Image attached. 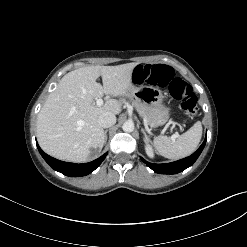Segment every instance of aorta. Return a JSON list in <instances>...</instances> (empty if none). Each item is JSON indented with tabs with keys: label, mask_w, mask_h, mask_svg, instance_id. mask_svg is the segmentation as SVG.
I'll use <instances>...</instances> for the list:
<instances>
[{
	"label": "aorta",
	"mask_w": 247,
	"mask_h": 247,
	"mask_svg": "<svg viewBox=\"0 0 247 247\" xmlns=\"http://www.w3.org/2000/svg\"><path fill=\"white\" fill-rule=\"evenodd\" d=\"M122 129L124 132H132L134 130V123L132 121H126L123 123Z\"/></svg>",
	"instance_id": "aorta-1"
}]
</instances>
